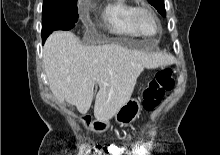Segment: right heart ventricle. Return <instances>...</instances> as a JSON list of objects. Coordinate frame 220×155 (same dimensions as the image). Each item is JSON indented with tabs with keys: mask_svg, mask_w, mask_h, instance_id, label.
<instances>
[{
	"mask_svg": "<svg viewBox=\"0 0 220 155\" xmlns=\"http://www.w3.org/2000/svg\"><path fill=\"white\" fill-rule=\"evenodd\" d=\"M133 9L134 5L127 0H107L100 11V18L110 33L124 37H137L139 34L131 23Z\"/></svg>",
	"mask_w": 220,
	"mask_h": 155,
	"instance_id": "right-heart-ventricle-1",
	"label": "right heart ventricle"
}]
</instances>
